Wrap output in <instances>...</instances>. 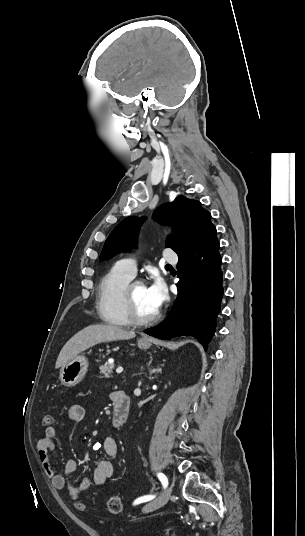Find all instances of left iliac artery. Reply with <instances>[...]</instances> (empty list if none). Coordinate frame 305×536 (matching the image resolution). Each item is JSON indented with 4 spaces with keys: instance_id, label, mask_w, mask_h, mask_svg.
I'll return each instance as SVG.
<instances>
[{
    "instance_id": "1",
    "label": "left iliac artery",
    "mask_w": 305,
    "mask_h": 536,
    "mask_svg": "<svg viewBox=\"0 0 305 536\" xmlns=\"http://www.w3.org/2000/svg\"><path fill=\"white\" fill-rule=\"evenodd\" d=\"M158 478L161 481L163 487L166 488L168 486L167 477L163 473H158ZM154 497L155 496H153V495H147V496L140 497L135 501V504L142 503V502H147V501L153 499Z\"/></svg>"
}]
</instances>
